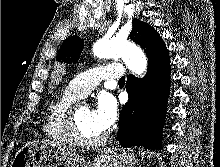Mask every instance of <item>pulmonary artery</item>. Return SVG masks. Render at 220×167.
Masks as SVG:
<instances>
[{
  "label": "pulmonary artery",
  "mask_w": 220,
  "mask_h": 167,
  "mask_svg": "<svg viewBox=\"0 0 220 167\" xmlns=\"http://www.w3.org/2000/svg\"><path fill=\"white\" fill-rule=\"evenodd\" d=\"M124 68L117 63H110L99 66L83 72L75 76L68 89L78 97H85L94 88H96L102 80L120 79L123 77Z\"/></svg>",
  "instance_id": "e3ab8cb5"
}]
</instances>
